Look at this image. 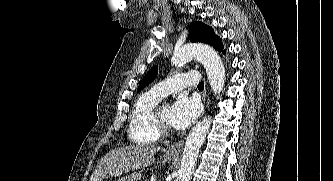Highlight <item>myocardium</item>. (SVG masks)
<instances>
[{"label": "myocardium", "mask_w": 333, "mask_h": 181, "mask_svg": "<svg viewBox=\"0 0 333 181\" xmlns=\"http://www.w3.org/2000/svg\"><path fill=\"white\" fill-rule=\"evenodd\" d=\"M165 102H160L155 109L153 110L152 119L153 124L156 128V130L160 134H168L170 132V127L167 123H165L161 118V110L162 107L165 105Z\"/></svg>", "instance_id": "f54148a6"}]
</instances>
